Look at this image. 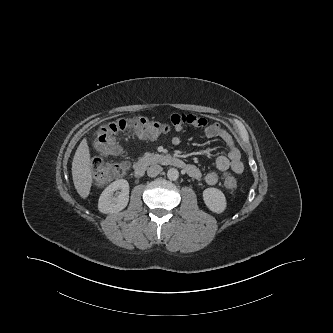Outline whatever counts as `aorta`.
Masks as SVG:
<instances>
[{
	"mask_svg": "<svg viewBox=\"0 0 333 333\" xmlns=\"http://www.w3.org/2000/svg\"><path fill=\"white\" fill-rule=\"evenodd\" d=\"M167 177H168V179L171 180V181H175V180H177L178 177H179V172H178V170L175 169V168H170V169L168 170V172H167Z\"/></svg>",
	"mask_w": 333,
	"mask_h": 333,
	"instance_id": "762f6f07",
	"label": "aorta"
}]
</instances>
